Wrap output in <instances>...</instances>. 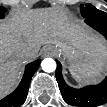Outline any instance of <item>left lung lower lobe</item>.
Segmentation results:
<instances>
[{
  "mask_svg": "<svg viewBox=\"0 0 107 107\" xmlns=\"http://www.w3.org/2000/svg\"><path fill=\"white\" fill-rule=\"evenodd\" d=\"M86 23L107 38V13L86 18ZM56 79L63 99L70 105L95 107L107 102V78L97 86L73 89L63 80L61 64L57 61Z\"/></svg>",
  "mask_w": 107,
  "mask_h": 107,
  "instance_id": "obj_1",
  "label": "left lung lower lobe"
}]
</instances>
